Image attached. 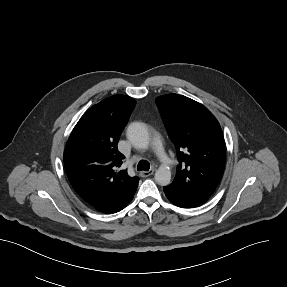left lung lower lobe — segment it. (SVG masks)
<instances>
[{
	"label": "left lung lower lobe",
	"mask_w": 287,
	"mask_h": 287,
	"mask_svg": "<svg viewBox=\"0 0 287 287\" xmlns=\"http://www.w3.org/2000/svg\"><path fill=\"white\" fill-rule=\"evenodd\" d=\"M164 192L171 203L182 208L198 207L208 200V198L172 186L164 187Z\"/></svg>",
	"instance_id": "0a47b994"
}]
</instances>
